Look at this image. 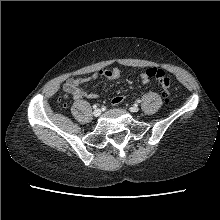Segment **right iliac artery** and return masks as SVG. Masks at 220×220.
<instances>
[{"label":"right iliac artery","instance_id":"right-iliac-artery-1","mask_svg":"<svg viewBox=\"0 0 220 220\" xmlns=\"http://www.w3.org/2000/svg\"><path fill=\"white\" fill-rule=\"evenodd\" d=\"M93 108L96 109V108H97V105H94Z\"/></svg>","mask_w":220,"mask_h":220}]
</instances>
